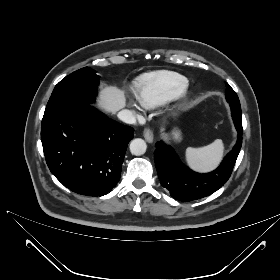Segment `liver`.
Instances as JSON below:
<instances>
[{"instance_id": "6515ba94", "label": "liver", "mask_w": 280, "mask_h": 280, "mask_svg": "<svg viewBox=\"0 0 280 280\" xmlns=\"http://www.w3.org/2000/svg\"><path fill=\"white\" fill-rule=\"evenodd\" d=\"M98 106L106 112L115 114L126 106L124 91L114 86H108L101 90Z\"/></svg>"}]
</instances>
